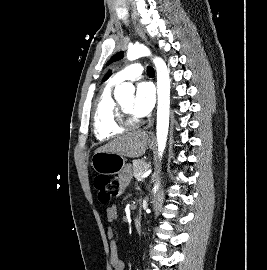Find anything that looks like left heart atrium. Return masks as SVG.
<instances>
[{"label":"left heart atrium","mask_w":267,"mask_h":270,"mask_svg":"<svg viewBox=\"0 0 267 270\" xmlns=\"http://www.w3.org/2000/svg\"><path fill=\"white\" fill-rule=\"evenodd\" d=\"M155 93L153 86L148 82H140L132 103V111L137 117L146 116L153 108Z\"/></svg>","instance_id":"39dd6f15"}]
</instances>
